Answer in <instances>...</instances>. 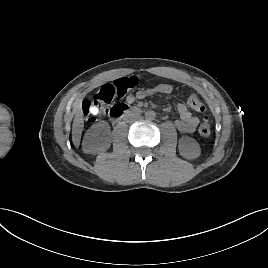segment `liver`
Wrapping results in <instances>:
<instances>
[{
	"instance_id": "obj_1",
	"label": "liver",
	"mask_w": 268,
	"mask_h": 268,
	"mask_svg": "<svg viewBox=\"0 0 268 268\" xmlns=\"http://www.w3.org/2000/svg\"><path fill=\"white\" fill-rule=\"evenodd\" d=\"M83 127H84V119L82 116L81 109L79 108L78 111L76 112L72 125V140L75 146H79L80 144Z\"/></svg>"
}]
</instances>
